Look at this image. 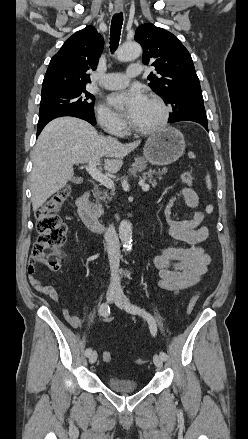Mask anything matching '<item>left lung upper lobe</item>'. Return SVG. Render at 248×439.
<instances>
[{
	"instance_id": "obj_1",
	"label": "left lung upper lobe",
	"mask_w": 248,
	"mask_h": 439,
	"mask_svg": "<svg viewBox=\"0 0 248 439\" xmlns=\"http://www.w3.org/2000/svg\"><path fill=\"white\" fill-rule=\"evenodd\" d=\"M143 48L142 61L155 67L150 73V88L171 104L176 117L194 114L206 116L200 82L191 55L179 39L153 24H143L135 32Z\"/></svg>"
}]
</instances>
